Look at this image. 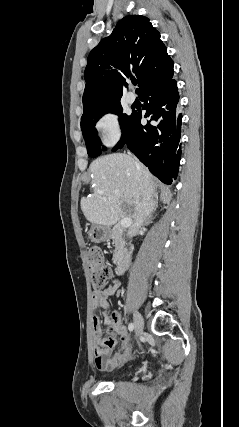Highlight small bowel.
I'll return each mask as SVG.
<instances>
[{"label": "small bowel", "mask_w": 239, "mask_h": 427, "mask_svg": "<svg viewBox=\"0 0 239 427\" xmlns=\"http://www.w3.org/2000/svg\"><path fill=\"white\" fill-rule=\"evenodd\" d=\"M118 282L112 281L101 290L93 293L92 301L94 308L101 307L104 316L112 321L114 331L120 336V341L115 336L102 338V331L98 317H93V336L95 341L94 362L99 370H112L124 365L132 356V348L129 346L130 337L126 328L122 325L117 313L111 312L108 299L118 288ZM119 347L120 353L111 356V351Z\"/></svg>", "instance_id": "c3829d8e"}]
</instances>
